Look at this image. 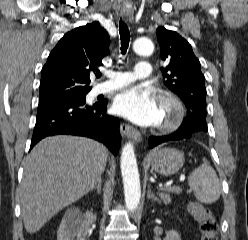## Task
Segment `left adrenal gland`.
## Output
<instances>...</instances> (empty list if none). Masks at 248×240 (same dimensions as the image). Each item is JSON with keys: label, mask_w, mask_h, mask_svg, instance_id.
I'll return each instance as SVG.
<instances>
[{"label": "left adrenal gland", "mask_w": 248, "mask_h": 240, "mask_svg": "<svg viewBox=\"0 0 248 240\" xmlns=\"http://www.w3.org/2000/svg\"><path fill=\"white\" fill-rule=\"evenodd\" d=\"M147 198L152 199L153 201L160 202L159 199L152 193L150 185H148Z\"/></svg>", "instance_id": "1"}]
</instances>
